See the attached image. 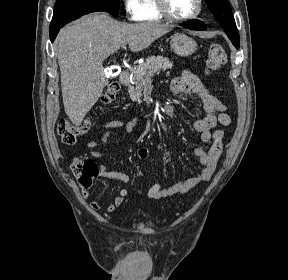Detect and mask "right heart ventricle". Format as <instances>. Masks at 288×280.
<instances>
[{"instance_id": "1", "label": "right heart ventricle", "mask_w": 288, "mask_h": 280, "mask_svg": "<svg viewBox=\"0 0 288 280\" xmlns=\"http://www.w3.org/2000/svg\"><path fill=\"white\" fill-rule=\"evenodd\" d=\"M141 5V21L154 22L162 20L163 17L158 10L156 0H142Z\"/></svg>"}]
</instances>
